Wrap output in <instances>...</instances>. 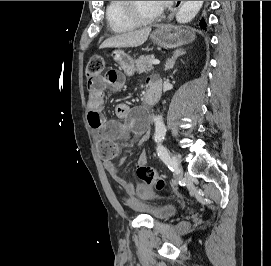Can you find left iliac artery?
<instances>
[{
	"instance_id": "obj_1",
	"label": "left iliac artery",
	"mask_w": 271,
	"mask_h": 266,
	"mask_svg": "<svg viewBox=\"0 0 271 266\" xmlns=\"http://www.w3.org/2000/svg\"><path fill=\"white\" fill-rule=\"evenodd\" d=\"M157 153L161 160L169 167V169L174 170L176 168L175 162L171 159L167 148L162 144V141H158Z\"/></svg>"
}]
</instances>
